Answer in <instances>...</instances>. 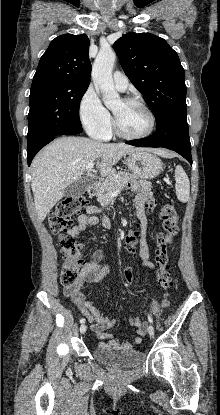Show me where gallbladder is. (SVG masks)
<instances>
[{
	"instance_id": "bac80fb5",
	"label": "gallbladder",
	"mask_w": 220,
	"mask_h": 415,
	"mask_svg": "<svg viewBox=\"0 0 220 415\" xmlns=\"http://www.w3.org/2000/svg\"><path fill=\"white\" fill-rule=\"evenodd\" d=\"M88 185L87 179L81 178L66 188L64 196L77 198L86 192Z\"/></svg>"
}]
</instances>
